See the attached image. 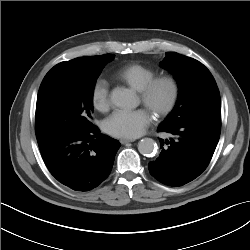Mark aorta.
<instances>
[{
  "label": "aorta",
  "mask_w": 250,
  "mask_h": 250,
  "mask_svg": "<svg viewBox=\"0 0 250 250\" xmlns=\"http://www.w3.org/2000/svg\"><path fill=\"white\" fill-rule=\"evenodd\" d=\"M111 102L119 108H131L135 104L134 94L121 88H115L110 94ZM138 151L147 157H153L157 152V144L151 138H144L138 143Z\"/></svg>",
  "instance_id": "1"
}]
</instances>
